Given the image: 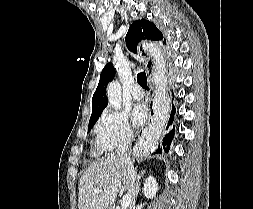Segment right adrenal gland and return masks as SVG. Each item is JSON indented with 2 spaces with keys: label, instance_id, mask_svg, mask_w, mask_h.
Listing matches in <instances>:
<instances>
[{
  "label": "right adrenal gland",
  "instance_id": "right-adrenal-gland-1",
  "mask_svg": "<svg viewBox=\"0 0 253 209\" xmlns=\"http://www.w3.org/2000/svg\"><path fill=\"white\" fill-rule=\"evenodd\" d=\"M144 173H145V170L144 171H142L140 174H136V180H137V182H136V186H137V192H136V196L138 195V193H139V191H140V189H139V182H140V179H141V177L144 175Z\"/></svg>",
  "mask_w": 253,
  "mask_h": 209
}]
</instances>
